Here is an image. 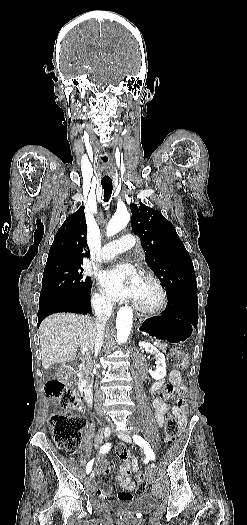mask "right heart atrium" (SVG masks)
Masks as SVG:
<instances>
[{"mask_svg":"<svg viewBox=\"0 0 247 525\" xmlns=\"http://www.w3.org/2000/svg\"><path fill=\"white\" fill-rule=\"evenodd\" d=\"M91 299L93 306L96 308L104 309L110 305V298L99 289L94 290Z\"/></svg>","mask_w":247,"mask_h":525,"instance_id":"right-heart-atrium-1","label":"right heart atrium"}]
</instances>
